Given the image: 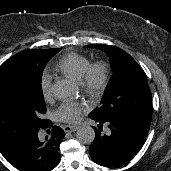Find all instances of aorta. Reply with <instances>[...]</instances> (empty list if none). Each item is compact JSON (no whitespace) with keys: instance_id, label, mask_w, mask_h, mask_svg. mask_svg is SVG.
Wrapping results in <instances>:
<instances>
[{"instance_id":"762f6f07","label":"aorta","mask_w":171,"mask_h":171,"mask_svg":"<svg viewBox=\"0 0 171 171\" xmlns=\"http://www.w3.org/2000/svg\"><path fill=\"white\" fill-rule=\"evenodd\" d=\"M53 94L59 99H66L77 93L76 85L67 79H61L54 83ZM77 140L82 144H91L95 139V131L90 126H82L76 132Z\"/></svg>"}]
</instances>
